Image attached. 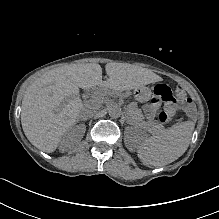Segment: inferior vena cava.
Wrapping results in <instances>:
<instances>
[{
  "mask_svg": "<svg viewBox=\"0 0 219 219\" xmlns=\"http://www.w3.org/2000/svg\"><path fill=\"white\" fill-rule=\"evenodd\" d=\"M81 113H80V117H82L84 120H91L94 117V107L91 104H84L81 107Z\"/></svg>",
  "mask_w": 219,
  "mask_h": 219,
  "instance_id": "602c4592",
  "label": "inferior vena cava"
}]
</instances>
